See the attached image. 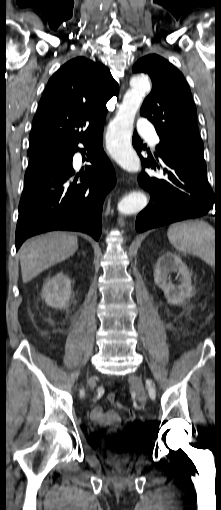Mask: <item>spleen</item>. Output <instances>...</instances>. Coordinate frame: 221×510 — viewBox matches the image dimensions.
Returning a JSON list of instances; mask_svg holds the SVG:
<instances>
[{
	"label": "spleen",
	"mask_w": 221,
	"mask_h": 510,
	"mask_svg": "<svg viewBox=\"0 0 221 510\" xmlns=\"http://www.w3.org/2000/svg\"><path fill=\"white\" fill-rule=\"evenodd\" d=\"M167 235L178 251L196 255L209 264L214 263L215 230L208 223L200 220L174 223Z\"/></svg>",
	"instance_id": "3e777b00"
}]
</instances>
